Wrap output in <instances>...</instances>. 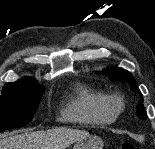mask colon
<instances>
[{
  "mask_svg": "<svg viewBox=\"0 0 155 149\" xmlns=\"http://www.w3.org/2000/svg\"><path fill=\"white\" fill-rule=\"evenodd\" d=\"M122 149H140V147L132 142H125L122 145Z\"/></svg>",
  "mask_w": 155,
  "mask_h": 149,
  "instance_id": "5ec220e1",
  "label": "colon"
}]
</instances>
